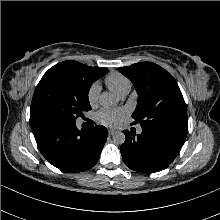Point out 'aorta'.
<instances>
[{"instance_id": "aorta-1", "label": "aorta", "mask_w": 220, "mask_h": 220, "mask_svg": "<svg viewBox=\"0 0 220 220\" xmlns=\"http://www.w3.org/2000/svg\"><path fill=\"white\" fill-rule=\"evenodd\" d=\"M99 101H100V104L105 108H109L115 105L117 102L116 98L112 94H109V93L101 94ZM125 138H126L125 134L121 131H117L113 135L114 143L119 144V145L125 142Z\"/></svg>"}]
</instances>
